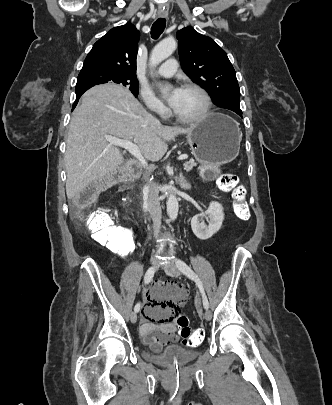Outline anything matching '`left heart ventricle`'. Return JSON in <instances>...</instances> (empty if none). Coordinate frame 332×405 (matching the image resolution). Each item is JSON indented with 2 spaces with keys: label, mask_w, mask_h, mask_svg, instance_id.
<instances>
[{
  "label": "left heart ventricle",
  "mask_w": 332,
  "mask_h": 405,
  "mask_svg": "<svg viewBox=\"0 0 332 405\" xmlns=\"http://www.w3.org/2000/svg\"><path fill=\"white\" fill-rule=\"evenodd\" d=\"M203 107L204 100L198 92L181 89L173 109L181 117L192 118L197 116L202 111Z\"/></svg>",
  "instance_id": "b2bd125f"
}]
</instances>
